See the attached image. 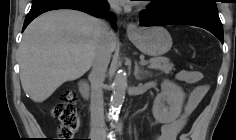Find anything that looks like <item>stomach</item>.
Masks as SVG:
<instances>
[{"label": "stomach", "instance_id": "stomach-1", "mask_svg": "<svg viewBox=\"0 0 236 140\" xmlns=\"http://www.w3.org/2000/svg\"><path fill=\"white\" fill-rule=\"evenodd\" d=\"M128 37L142 53L154 57L165 54L172 46V38L163 27L140 28Z\"/></svg>", "mask_w": 236, "mask_h": 140}]
</instances>
